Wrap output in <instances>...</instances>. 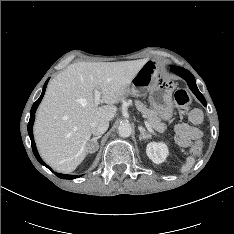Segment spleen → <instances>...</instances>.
<instances>
[{
    "mask_svg": "<svg viewBox=\"0 0 234 234\" xmlns=\"http://www.w3.org/2000/svg\"><path fill=\"white\" fill-rule=\"evenodd\" d=\"M195 164V158L192 156L187 157L186 163L181 167V172L185 173L189 171Z\"/></svg>",
    "mask_w": 234,
    "mask_h": 234,
    "instance_id": "1",
    "label": "spleen"
}]
</instances>
